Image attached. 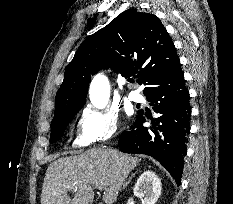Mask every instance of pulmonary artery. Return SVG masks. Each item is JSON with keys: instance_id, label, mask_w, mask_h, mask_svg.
<instances>
[{"instance_id": "e3ab8cb5", "label": "pulmonary artery", "mask_w": 233, "mask_h": 204, "mask_svg": "<svg viewBox=\"0 0 233 204\" xmlns=\"http://www.w3.org/2000/svg\"><path fill=\"white\" fill-rule=\"evenodd\" d=\"M128 98L131 101H135V102H141V101H143L142 95L138 91H135V90H132V91L129 92Z\"/></svg>"}]
</instances>
